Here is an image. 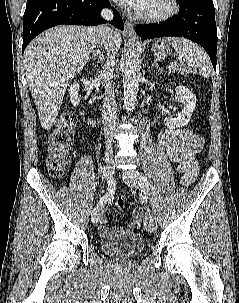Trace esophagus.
Masks as SVG:
<instances>
[{
	"label": "esophagus",
	"mask_w": 239,
	"mask_h": 303,
	"mask_svg": "<svg viewBox=\"0 0 239 303\" xmlns=\"http://www.w3.org/2000/svg\"><path fill=\"white\" fill-rule=\"evenodd\" d=\"M125 36L128 38L136 39L135 27L132 22H125Z\"/></svg>",
	"instance_id": "esophagus-1"
}]
</instances>
